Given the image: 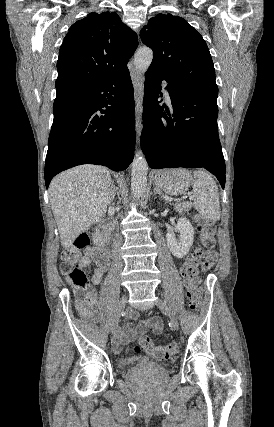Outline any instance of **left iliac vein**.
<instances>
[{
    "label": "left iliac vein",
    "mask_w": 274,
    "mask_h": 427,
    "mask_svg": "<svg viewBox=\"0 0 274 427\" xmlns=\"http://www.w3.org/2000/svg\"><path fill=\"white\" fill-rule=\"evenodd\" d=\"M156 305L158 306V308L165 313L166 315L169 316L170 318V322L172 324V327L174 330H178L179 328V323H178V318L177 316L172 312V310L167 306V304L162 301V300H158Z\"/></svg>",
    "instance_id": "4c4485c4"
}]
</instances>
